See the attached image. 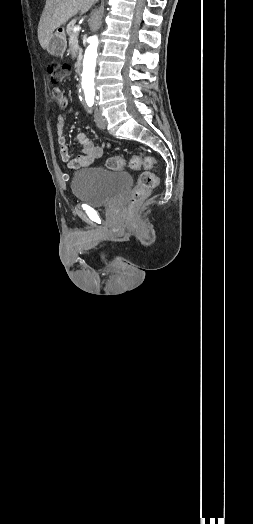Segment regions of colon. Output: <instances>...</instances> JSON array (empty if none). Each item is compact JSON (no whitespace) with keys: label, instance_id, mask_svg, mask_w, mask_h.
<instances>
[{"label":"colon","instance_id":"obj_1","mask_svg":"<svg viewBox=\"0 0 253 524\" xmlns=\"http://www.w3.org/2000/svg\"><path fill=\"white\" fill-rule=\"evenodd\" d=\"M48 73L53 82H61L64 77L69 73V66L65 63L50 62L47 66ZM126 163L122 157L115 156L107 161V167L111 170H122ZM130 167L134 170H140L141 168L151 169L155 165V160L152 157H141L134 155L129 163ZM159 183V178L156 173L151 171H144L140 174L138 182L132 191L130 197V205L136 206L139 204L146 195L155 189Z\"/></svg>","mask_w":253,"mask_h":524}]
</instances>
